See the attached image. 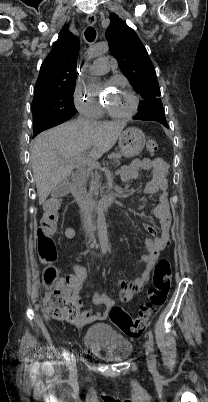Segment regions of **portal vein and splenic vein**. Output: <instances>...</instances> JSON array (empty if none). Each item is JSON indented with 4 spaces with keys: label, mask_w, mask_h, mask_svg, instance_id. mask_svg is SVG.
Returning <instances> with one entry per match:
<instances>
[{
    "label": "portal vein and splenic vein",
    "mask_w": 208,
    "mask_h": 402,
    "mask_svg": "<svg viewBox=\"0 0 208 402\" xmlns=\"http://www.w3.org/2000/svg\"><path fill=\"white\" fill-rule=\"evenodd\" d=\"M112 157L115 159L111 166L118 165L120 156L116 153L112 154ZM79 162H76L75 166H88V170H93V168H100L98 162L96 160H92V158H86L85 154H81L78 158Z\"/></svg>",
    "instance_id": "1"
}]
</instances>
